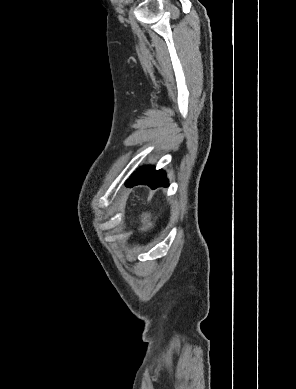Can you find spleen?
Wrapping results in <instances>:
<instances>
[{
  "label": "spleen",
  "instance_id": "spleen-1",
  "mask_svg": "<svg viewBox=\"0 0 296 389\" xmlns=\"http://www.w3.org/2000/svg\"><path fill=\"white\" fill-rule=\"evenodd\" d=\"M142 223H143V227L141 228V230L143 231L152 227V223L150 222V214L146 213L142 215Z\"/></svg>",
  "mask_w": 296,
  "mask_h": 389
}]
</instances>
